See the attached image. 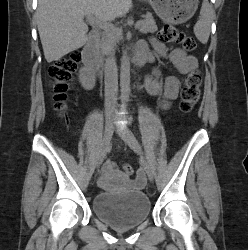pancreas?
<instances>
[{
	"label": "pancreas",
	"instance_id": "1",
	"mask_svg": "<svg viewBox=\"0 0 248 250\" xmlns=\"http://www.w3.org/2000/svg\"><path fill=\"white\" fill-rule=\"evenodd\" d=\"M143 20L139 21L137 28L143 34L154 33L157 31L155 20L151 13H147L143 16ZM121 37V30L118 28H109L105 33L101 41V50L105 54L108 49L114 46Z\"/></svg>",
	"mask_w": 248,
	"mask_h": 250
}]
</instances>
